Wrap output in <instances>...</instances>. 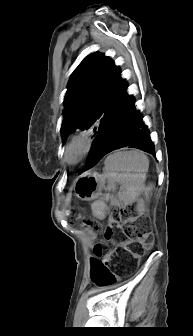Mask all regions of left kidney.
<instances>
[{"label": "left kidney", "instance_id": "obj_1", "mask_svg": "<svg viewBox=\"0 0 193 336\" xmlns=\"http://www.w3.org/2000/svg\"><path fill=\"white\" fill-rule=\"evenodd\" d=\"M152 190H153V185L152 184H149V186L144 187L143 192H144V196H145L146 200L149 199ZM136 210H137L139 215L144 214V212L146 211V204H145V201L143 199L138 200L137 205H136Z\"/></svg>", "mask_w": 193, "mask_h": 336}]
</instances>
